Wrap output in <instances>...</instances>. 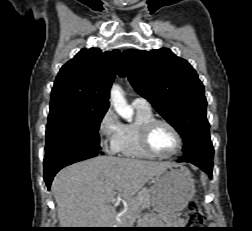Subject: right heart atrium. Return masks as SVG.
<instances>
[{
    "label": "right heart atrium",
    "mask_w": 252,
    "mask_h": 231,
    "mask_svg": "<svg viewBox=\"0 0 252 231\" xmlns=\"http://www.w3.org/2000/svg\"><path fill=\"white\" fill-rule=\"evenodd\" d=\"M122 124L113 110L107 109L100 118L97 132L102 145L116 152Z\"/></svg>",
    "instance_id": "right-heart-atrium-1"
}]
</instances>
